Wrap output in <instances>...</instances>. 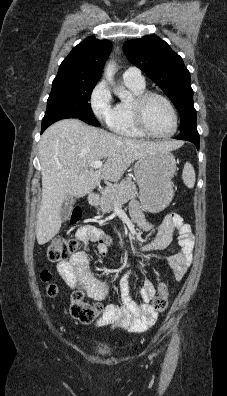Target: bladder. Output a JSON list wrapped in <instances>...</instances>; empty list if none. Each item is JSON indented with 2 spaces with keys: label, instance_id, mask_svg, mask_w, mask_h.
I'll use <instances>...</instances> for the list:
<instances>
[{
  "label": "bladder",
  "instance_id": "31cf9c89",
  "mask_svg": "<svg viewBox=\"0 0 227 396\" xmlns=\"http://www.w3.org/2000/svg\"><path fill=\"white\" fill-rule=\"evenodd\" d=\"M94 353L101 355V356H108L111 354L110 348L105 345L97 344L93 346Z\"/></svg>",
  "mask_w": 227,
  "mask_h": 396
}]
</instances>
